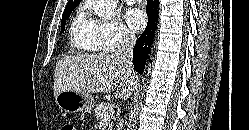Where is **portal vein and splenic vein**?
<instances>
[{
    "label": "portal vein and splenic vein",
    "mask_w": 249,
    "mask_h": 130,
    "mask_svg": "<svg viewBox=\"0 0 249 130\" xmlns=\"http://www.w3.org/2000/svg\"><path fill=\"white\" fill-rule=\"evenodd\" d=\"M113 114H114L113 108L110 109L107 112H103L101 114V120H102V122H108V121H110L113 118Z\"/></svg>",
    "instance_id": "1"
}]
</instances>
